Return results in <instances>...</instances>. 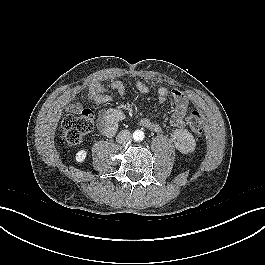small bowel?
<instances>
[{"instance_id": "small-bowel-1", "label": "small bowel", "mask_w": 265, "mask_h": 265, "mask_svg": "<svg viewBox=\"0 0 265 265\" xmlns=\"http://www.w3.org/2000/svg\"><path fill=\"white\" fill-rule=\"evenodd\" d=\"M135 88L142 94L149 92V86L142 80L135 81ZM116 92L123 96L125 94L124 83L116 79L112 81L110 88L105 87L99 82H93L89 85L87 99L95 105H103L112 101L111 92ZM158 100L165 103L171 99L174 104V110L170 118V125L174 128L171 139L178 151L184 154L192 153L195 149V140L192 134L185 129L187 115L190 111L189 97L179 89L169 90L161 86L157 90ZM78 103H71L68 106L69 111L77 113L80 111ZM124 118V112L119 108H113L100 113L98 118V128L101 134L111 137L115 134L119 122ZM139 124L152 131H160L161 125L149 118H140Z\"/></svg>"}]
</instances>
